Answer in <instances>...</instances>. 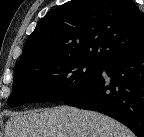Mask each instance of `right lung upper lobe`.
I'll use <instances>...</instances> for the list:
<instances>
[{"label": "right lung upper lobe", "mask_w": 144, "mask_h": 137, "mask_svg": "<svg viewBox=\"0 0 144 137\" xmlns=\"http://www.w3.org/2000/svg\"><path fill=\"white\" fill-rule=\"evenodd\" d=\"M143 46L144 14L132 0H72L38 22L16 66L66 58L104 65Z\"/></svg>", "instance_id": "right-lung-upper-lobe-1"}]
</instances>
